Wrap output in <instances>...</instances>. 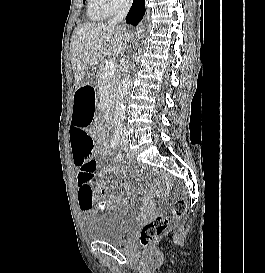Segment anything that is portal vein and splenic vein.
Here are the masks:
<instances>
[{
    "label": "portal vein and splenic vein",
    "mask_w": 265,
    "mask_h": 273,
    "mask_svg": "<svg viewBox=\"0 0 265 273\" xmlns=\"http://www.w3.org/2000/svg\"><path fill=\"white\" fill-rule=\"evenodd\" d=\"M117 68V65L115 62H110L107 68L105 69L104 72V78H110L113 76Z\"/></svg>",
    "instance_id": "1"
}]
</instances>
